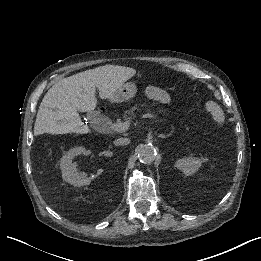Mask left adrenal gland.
Returning <instances> with one entry per match:
<instances>
[{"mask_svg":"<svg viewBox=\"0 0 261 261\" xmlns=\"http://www.w3.org/2000/svg\"><path fill=\"white\" fill-rule=\"evenodd\" d=\"M158 137H159V138H162V139H167V138H168V136H165V135H163V134H160Z\"/></svg>","mask_w":261,"mask_h":261,"instance_id":"a2214340","label":"left adrenal gland"}]
</instances>
